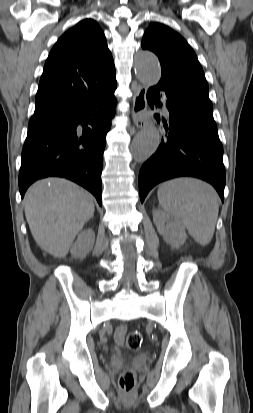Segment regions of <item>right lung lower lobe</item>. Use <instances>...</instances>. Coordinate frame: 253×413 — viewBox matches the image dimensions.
I'll use <instances>...</instances> for the list:
<instances>
[{
    "label": "right lung lower lobe",
    "instance_id": "1",
    "mask_svg": "<svg viewBox=\"0 0 253 413\" xmlns=\"http://www.w3.org/2000/svg\"><path fill=\"white\" fill-rule=\"evenodd\" d=\"M115 75L92 97L74 102L48 125L27 134L22 150L19 190L37 179L59 176L70 179L101 201V172L106 134L115 116Z\"/></svg>",
    "mask_w": 253,
    "mask_h": 413
}]
</instances>
